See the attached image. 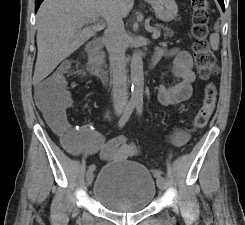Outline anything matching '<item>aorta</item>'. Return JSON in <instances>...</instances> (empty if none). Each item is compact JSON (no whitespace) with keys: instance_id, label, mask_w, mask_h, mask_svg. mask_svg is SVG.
Listing matches in <instances>:
<instances>
[{"instance_id":"1","label":"aorta","mask_w":245,"mask_h":225,"mask_svg":"<svg viewBox=\"0 0 245 225\" xmlns=\"http://www.w3.org/2000/svg\"><path fill=\"white\" fill-rule=\"evenodd\" d=\"M131 101L140 103L143 101L144 72L143 60L139 50H135L131 57Z\"/></svg>"}]
</instances>
